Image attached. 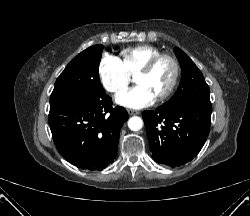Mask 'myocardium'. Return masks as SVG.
Here are the masks:
<instances>
[{"instance_id": "1", "label": "myocardium", "mask_w": 250, "mask_h": 216, "mask_svg": "<svg viewBox=\"0 0 250 216\" xmlns=\"http://www.w3.org/2000/svg\"><path fill=\"white\" fill-rule=\"evenodd\" d=\"M162 60H167L171 63V65H172V77H171V80H170L167 88L155 97V99L157 101H161V100L167 98L173 92V90L177 84V81L179 78V73H180V67H179V63H178L177 59L170 54H159V55L155 56L154 58H152L135 75L136 77H138L140 75L149 74L156 67V65Z\"/></svg>"}]
</instances>
